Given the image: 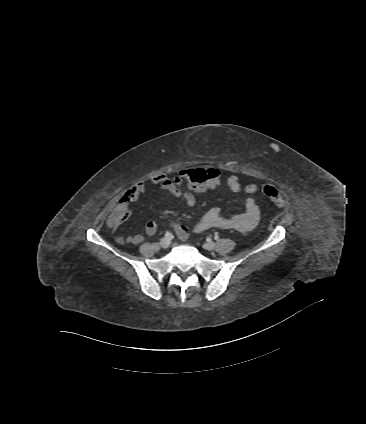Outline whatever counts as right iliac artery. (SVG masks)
Returning <instances> with one entry per match:
<instances>
[{
  "label": "right iliac artery",
  "instance_id": "82829eb1",
  "mask_svg": "<svg viewBox=\"0 0 366 424\" xmlns=\"http://www.w3.org/2000/svg\"><path fill=\"white\" fill-rule=\"evenodd\" d=\"M165 237H167V238H171V237H172V234H171L170 232H166V233H165Z\"/></svg>",
  "mask_w": 366,
  "mask_h": 424
}]
</instances>
